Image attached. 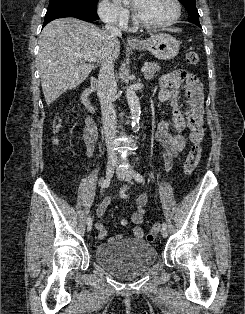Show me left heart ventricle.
I'll use <instances>...</instances> for the list:
<instances>
[{"label": "left heart ventricle", "instance_id": "b2bd125f", "mask_svg": "<svg viewBox=\"0 0 245 314\" xmlns=\"http://www.w3.org/2000/svg\"><path fill=\"white\" fill-rule=\"evenodd\" d=\"M135 13L145 22H163L173 17L175 6L172 0H138Z\"/></svg>", "mask_w": 245, "mask_h": 314}]
</instances>
